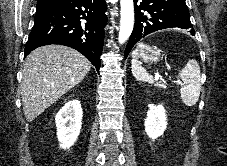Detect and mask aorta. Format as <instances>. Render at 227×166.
Wrapping results in <instances>:
<instances>
[{"mask_svg":"<svg viewBox=\"0 0 227 166\" xmlns=\"http://www.w3.org/2000/svg\"><path fill=\"white\" fill-rule=\"evenodd\" d=\"M121 20L118 41L125 43L130 37L134 26V4L133 0H120Z\"/></svg>","mask_w":227,"mask_h":166,"instance_id":"762f6f07","label":"aorta"}]
</instances>
